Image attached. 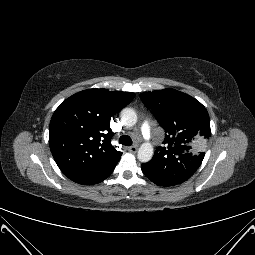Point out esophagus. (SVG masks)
Returning a JSON list of instances; mask_svg holds the SVG:
<instances>
[{"instance_id":"esophagus-1","label":"esophagus","mask_w":255,"mask_h":255,"mask_svg":"<svg viewBox=\"0 0 255 255\" xmlns=\"http://www.w3.org/2000/svg\"><path fill=\"white\" fill-rule=\"evenodd\" d=\"M128 150H129L130 152H132V153H136L137 150H138V147H137L136 145H135V146H131V147L128 148Z\"/></svg>"}]
</instances>
